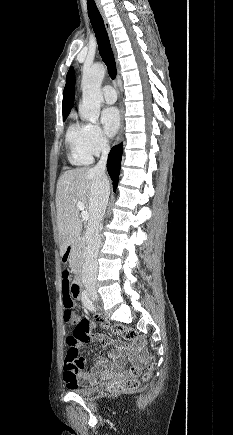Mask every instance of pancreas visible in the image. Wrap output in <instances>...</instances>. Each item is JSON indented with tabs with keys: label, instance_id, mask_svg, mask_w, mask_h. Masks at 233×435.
<instances>
[{
	"label": "pancreas",
	"instance_id": "obj_1",
	"mask_svg": "<svg viewBox=\"0 0 233 435\" xmlns=\"http://www.w3.org/2000/svg\"><path fill=\"white\" fill-rule=\"evenodd\" d=\"M84 263V246L82 242H78L72 248L69 265L74 273H78Z\"/></svg>",
	"mask_w": 233,
	"mask_h": 435
}]
</instances>
